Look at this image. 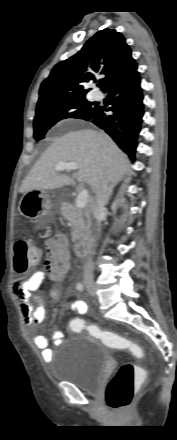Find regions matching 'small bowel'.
<instances>
[{
  "instance_id": "obj_1",
  "label": "small bowel",
  "mask_w": 177,
  "mask_h": 440,
  "mask_svg": "<svg viewBox=\"0 0 177 440\" xmlns=\"http://www.w3.org/2000/svg\"><path fill=\"white\" fill-rule=\"evenodd\" d=\"M70 268L69 242L64 234L57 233L48 239L45 244L44 269L38 270L27 279H18L13 283V295L19 303L23 320L26 326L35 327L39 325L46 316L43 298L33 294L42 285L45 278H48L54 285L49 289V296L56 300L60 297L57 283L61 282ZM32 299V302H31ZM72 310L83 315L87 312V305L83 301H72ZM64 339L63 333L55 330L52 340L55 345H60ZM34 345L41 351L45 360H50L52 349L49 347L48 338L44 335L34 336Z\"/></svg>"
}]
</instances>
